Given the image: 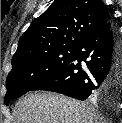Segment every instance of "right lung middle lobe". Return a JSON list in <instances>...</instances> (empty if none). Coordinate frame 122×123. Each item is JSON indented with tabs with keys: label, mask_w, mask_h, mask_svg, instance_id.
<instances>
[{
	"label": "right lung middle lobe",
	"mask_w": 122,
	"mask_h": 123,
	"mask_svg": "<svg viewBox=\"0 0 122 123\" xmlns=\"http://www.w3.org/2000/svg\"><path fill=\"white\" fill-rule=\"evenodd\" d=\"M76 51L77 49L57 50L12 63V70L6 80L5 104L8 106L11 100L33 90L37 85L58 73L72 62Z\"/></svg>",
	"instance_id": "right-lung-middle-lobe-1"
}]
</instances>
